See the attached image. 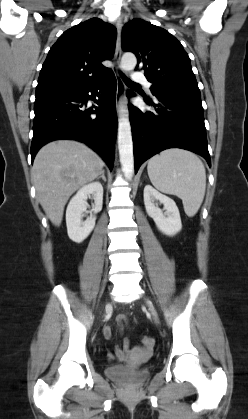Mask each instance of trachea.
I'll list each match as a JSON object with an SVG mask.
<instances>
[{"label":"trachea","mask_w":248,"mask_h":419,"mask_svg":"<svg viewBox=\"0 0 248 419\" xmlns=\"http://www.w3.org/2000/svg\"><path fill=\"white\" fill-rule=\"evenodd\" d=\"M121 76H122V78H123V80L126 84H128V85H138L137 83H135V82L131 81L129 78H127L124 74H121Z\"/></svg>","instance_id":"3493384b"}]
</instances>
